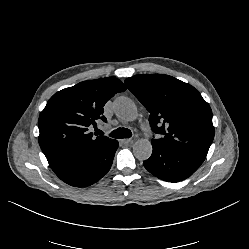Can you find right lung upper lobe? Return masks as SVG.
<instances>
[{
	"label": "right lung upper lobe",
	"mask_w": 249,
	"mask_h": 249,
	"mask_svg": "<svg viewBox=\"0 0 249 249\" xmlns=\"http://www.w3.org/2000/svg\"><path fill=\"white\" fill-rule=\"evenodd\" d=\"M115 77L78 83L54 94L39 116V144L55 173L75 165L99 151L112 139L93 137L89 126L107 121L103 106L116 93L125 91Z\"/></svg>",
	"instance_id": "cb5924a9"
}]
</instances>
